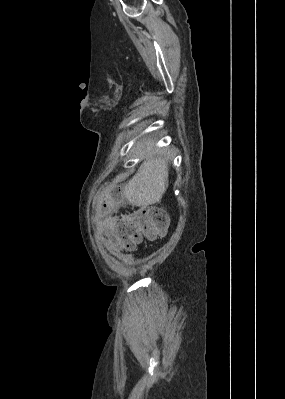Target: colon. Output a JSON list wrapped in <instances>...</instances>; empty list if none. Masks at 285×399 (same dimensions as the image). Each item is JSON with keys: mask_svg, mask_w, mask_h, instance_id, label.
<instances>
[{"mask_svg": "<svg viewBox=\"0 0 285 399\" xmlns=\"http://www.w3.org/2000/svg\"><path fill=\"white\" fill-rule=\"evenodd\" d=\"M118 195L107 191L100 198L97 214L102 222L107 237L114 240L120 251L133 250L143 236L164 235L169 229V220L161 208L150 207L127 213H117Z\"/></svg>", "mask_w": 285, "mask_h": 399, "instance_id": "5ec220e1", "label": "colon"}]
</instances>
